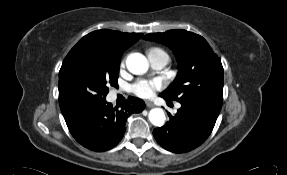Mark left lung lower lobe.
I'll use <instances>...</instances> for the list:
<instances>
[{
    "label": "left lung lower lobe",
    "mask_w": 287,
    "mask_h": 175,
    "mask_svg": "<svg viewBox=\"0 0 287 175\" xmlns=\"http://www.w3.org/2000/svg\"><path fill=\"white\" fill-rule=\"evenodd\" d=\"M181 105L175 116L169 114L170 120L153 131L156 141L174 153L188 152L200 146L209 137L216 122L196 108Z\"/></svg>",
    "instance_id": "1"
}]
</instances>
